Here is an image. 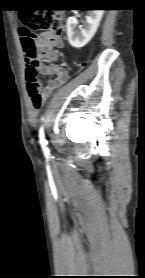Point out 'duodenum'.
<instances>
[{"label": "duodenum", "instance_id": "1", "mask_svg": "<svg viewBox=\"0 0 145 278\" xmlns=\"http://www.w3.org/2000/svg\"><path fill=\"white\" fill-rule=\"evenodd\" d=\"M45 96H46V97H49V96H50V94H49V93H46V94H45Z\"/></svg>", "mask_w": 145, "mask_h": 278}]
</instances>
